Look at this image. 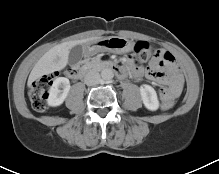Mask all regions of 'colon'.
<instances>
[{"mask_svg":"<svg viewBox=\"0 0 219 174\" xmlns=\"http://www.w3.org/2000/svg\"><path fill=\"white\" fill-rule=\"evenodd\" d=\"M155 55L152 47L144 41H139L134 46V62L140 66L148 62ZM57 77L56 73L44 75L31 83L29 90V98L34 110L42 112L47 107L48 89L52 85L54 79ZM173 101L162 100L161 109L170 110L173 108Z\"/></svg>","mask_w":219,"mask_h":174,"instance_id":"colon-1","label":"colon"}]
</instances>
